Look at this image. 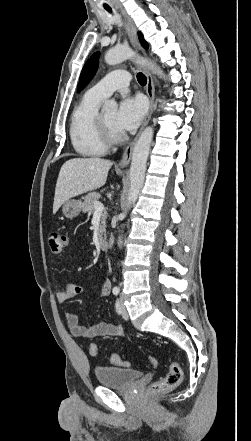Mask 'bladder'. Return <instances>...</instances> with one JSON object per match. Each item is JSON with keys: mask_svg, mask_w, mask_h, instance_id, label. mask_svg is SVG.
Wrapping results in <instances>:
<instances>
[{"mask_svg": "<svg viewBox=\"0 0 251 441\" xmlns=\"http://www.w3.org/2000/svg\"><path fill=\"white\" fill-rule=\"evenodd\" d=\"M143 373L136 369L100 366L95 368L97 382L105 387L127 389L142 377Z\"/></svg>", "mask_w": 251, "mask_h": 441, "instance_id": "31cf9c89", "label": "bladder"}]
</instances>
